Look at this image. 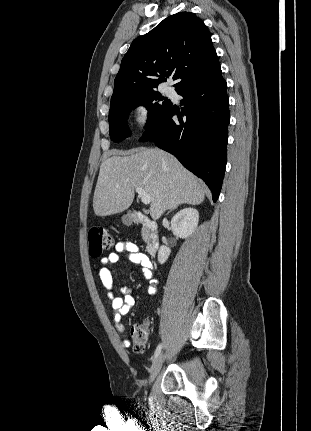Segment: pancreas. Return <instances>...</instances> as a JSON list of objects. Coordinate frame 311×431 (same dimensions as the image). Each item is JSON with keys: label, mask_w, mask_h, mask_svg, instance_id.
Listing matches in <instances>:
<instances>
[{"label": "pancreas", "mask_w": 311, "mask_h": 431, "mask_svg": "<svg viewBox=\"0 0 311 431\" xmlns=\"http://www.w3.org/2000/svg\"><path fill=\"white\" fill-rule=\"evenodd\" d=\"M150 229H148V227H142L141 229V235H142V239H144V241H150L151 237H149L150 233H149Z\"/></svg>", "instance_id": "obj_1"}]
</instances>
